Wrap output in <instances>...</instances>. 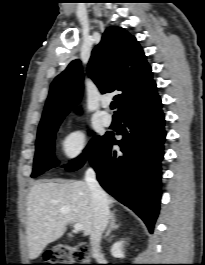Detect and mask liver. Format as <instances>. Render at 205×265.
I'll use <instances>...</instances> for the list:
<instances>
[{"label": "liver", "instance_id": "1", "mask_svg": "<svg viewBox=\"0 0 205 265\" xmlns=\"http://www.w3.org/2000/svg\"><path fill=\"white\" fill-rule=\"evenodd\" d=\"M108 206L113 198L107 196ZM27 245L31 260L48 244L60 238L67 224H81L83 235H91L94 224L92 194L85 181L51 180L37 182L27 196Z\"/></svg>", "mask_w": 205, "mask_h": 265}]
</instances>
